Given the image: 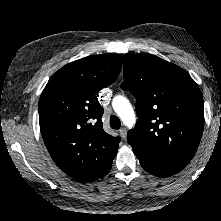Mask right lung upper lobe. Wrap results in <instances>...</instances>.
<instances>
[{"mask_svg":"<svg viewBox=\"0 0 221 221\" xmlns=\"http://www.w3.org/2000/svg\"><path fill=\"white\" fill-rule=\"evenodd\" d=\"M122 57L88 56L58 70L39 100V123L54 162L82 182L102 178L111 169L120 138L103 130L98 92L118 77Z\"/></svg>","mask_w":221,"mask_h":221,"instance_id":"1","label":"right lung upper lobe"}]
</instances>
